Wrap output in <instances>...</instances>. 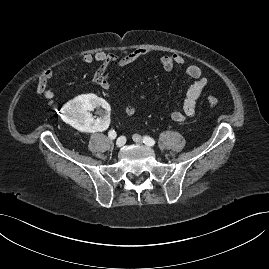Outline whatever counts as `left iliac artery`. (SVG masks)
Returning a JSON list of instances; mask_svg holds the SVG:
<instances>
[{"label":"left iliac artery","mask_w":269,"mask_h":269,"mask_svg":"<svg viewBox=\"0 0 269 269\" xmlns=\"http://www.w3.org/2000/svg\"><path fill=\"white\" fill-rule=\"evenodd\" d=\"M143 143H145L148 146H153L155 144V141H154V139H152V138H150L148 136H145L143 138Z\"/></svg>","instance_id":"obj_1"}]
</instances>
